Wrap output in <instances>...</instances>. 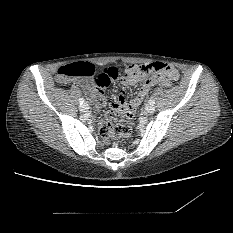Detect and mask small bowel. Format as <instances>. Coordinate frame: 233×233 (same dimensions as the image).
I'll return each instance as SVG.
<instances>
[{
	"mask_svg": "<svg viewBox=\"0 0 233 233\" xmlns=\"http://www.w3.org/2000/svg\"><path fill=\"white\" fill-rule=\"evenodd\" d=\"M118 73V68L111 66L101 71V77L96 81V86H93L92 81L87 78H78L75 80V83L82 87L91 98L97 100V106L100 109L122 110L127 107L135 109L143 101L144 97L153 86L168 87L177 75L176 72H173L168 76H160L154 81L143 83L139 92L130 101L126 99L125 93L121 92L115 101L110 102L105 96V90L110 82L117 78ZM120 82L124 86H134L140 82V80L123 75L120 77Z\"/></svg>",
	"mask_w": 233,
	"mask_h": 233,
	"instance_id": "1",
	"label": "small bowel"
}]
</instances>
